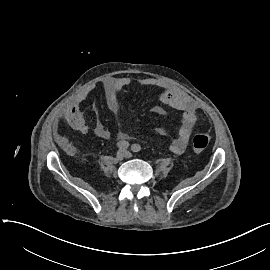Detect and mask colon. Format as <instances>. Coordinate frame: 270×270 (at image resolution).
I'll list each match as a JSON object with an SVG mask.
<instances>
[{
    "mask_svg": "<svg viewBox=\"0 0 270 270\" xmlns=\"http://www.w3.org/2000/svg\"><path fill=\"white\" fill-rule=\"evenodd\" d=\"M210 143V138L205 133H197L192 139L193 148L196 152L204 151Z\"/></svg>",
    "mask_w": 270,
    "mask_h": 270,
    "instance_id": "obj_1",
    "label": "colon"
}]
</instances>
